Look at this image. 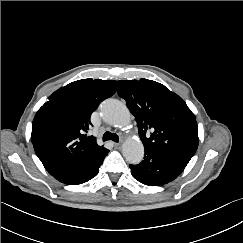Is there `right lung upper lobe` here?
Here are the masks:
<instances>
[{
    "label": "right lung upper lobe",
    "instance_id": "1",
    "mask_svg": "<svg viewBox=\"0 0 243 243\" xmlns=\"http://www.w3.org/2000/svg\"><path fill=\"white\" fill-rule=\"evenodd\" d=\"M116 88V81L89 78L72 82L49 96L34 117L31 134L35 153L46 169L105 149L86 133L92 112Z\"/></svg>",
    "mask_w": 243,
    "mask_h": 243
}]
</instances>
